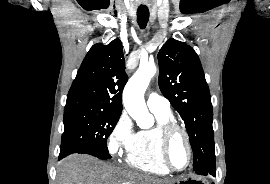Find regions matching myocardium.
Masks as SVG:
<instances>
[{
	"label": "myocardium",
	"mask_w": 270,
	"mask_h": 184,
	"mask_svg": "<svg viewBox=\"0 0 270 184\" xmlns=\"http://www.w3.org/2000/svg\"><path fill=\"white\" fill-rule=\"evenodd\" d=\"M158 132L160 157L163 165L171 172H182L187 170L193 160V148L188 132L175 121H168L160 124L158 126ZM176 134H181L184 137L188 150V162L183 168L174 167L169 160L170 144Z\"/></svg>",
	"instance_id": "obj_1"
}]
</instances>
